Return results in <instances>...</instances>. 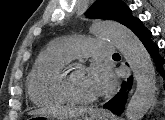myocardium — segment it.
I'll return each instance as SVG.
<instances>
[{"instance_id":"1","label":"myocardium","mask_w":165,"mask_h":120,"mask_svg":"<svg viewBox=\"0 0 165 120\" xmlns=\"http://www.w3.org/2000/svg\"><path fill=\"white\" fill-rule=\"evenodd\" d=\"M85 69V66L81 63H68L62 70L59 78V90L67 101L76 103L90 105L96 103L99 98H83L79 97L72 91L70 87V74L73 70Z\"/></svg>"}]
</instances>
